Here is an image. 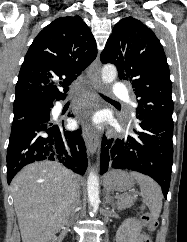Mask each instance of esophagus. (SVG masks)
Listing matches in <instances>:
<instances>
[{
	"label": "esophagus",
	"mask_w": 187,
	"mask_h": 242,
	"mask_svg": "<svg viewBox=\"0 0 187 242\" xmlns=\"http://www.w3.org/2000/svg\"><path fill=\"white\" fill-rule=\"evenodd\" d=\"M100 70L101 63L99 57H97L89 68V77L95 87L100 86ZM83 136L88 152L94 154L99 146V136L92 130L88 121L83 125Z\"/></svg>",
	"instance_id": "esophagus-1"
}]
</instances>
